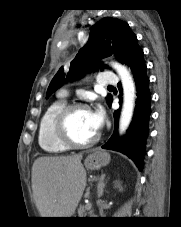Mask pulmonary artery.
Returning <instances> with one entry per match:
<instances>
[{
	"label": "pulmonary artery",
	"mask_w": 181,
	"mask_h": 227,
	"mask_svg": "<svg viewBox=\"0 0 181 227\" xmlns=\"http://www.w3.org/2000/svg\"><path fill=\"white\" fill-rule=\"evenodd\" d=\"M118 77L114 73H101L98 78V84L100 86H107V85H113L118 82ZM61 95H66L65 92H62Z\"/></svg>",
	"instance_id": "obj_1"
}]
</instances>
